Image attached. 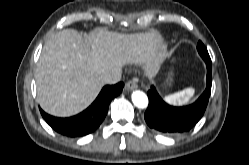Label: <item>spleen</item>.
<instances>
[{"label": "spleen", "instance_id": "spleen-1", "mask_svg": "<svg viewBox=\"0 0 249 165\" xmlns=\"http://www.w3.org/2000/svg\"><path fill=\"white\" fill-rule=\"evenodd\" d=\"M194 93L195 90L193 88H187L180 92L166 96L164 100L169 104L181 106L189 103Z\"/></svg>", "mask_w": 249, "mask_h": 165}]
</instances>
